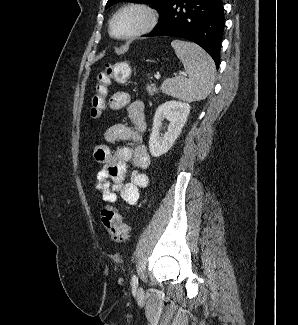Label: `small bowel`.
Returning <instances> with one entry per match:
<instances>
[{"mask_svg":"<svg viewBox=\"0 0 298 325\" xmlns=\"http://www.w3.org/2000/svg\"><path fill=\"white\" fill-rule=\"evenodd\" d=\"M109 107L114 111L127 108L134 127L119 123L105 131L106 144L97 145L94 149V159L102 165L95 177V189L104 202L115 203L122 199L129 205H135L139 200L140 190L149 183L144 172L150 164V155L145 146L144 107L141 102H131L129 94L123 91L110 97ZM123 141L133 145L121 146L112 152L109 145ZM128 162L134 169L129 181H125Z\"/></svg>","mask_w":298,"mask_h":325,"instance_id":"c3829d8e","label":"small bowel"}]
</instances>
